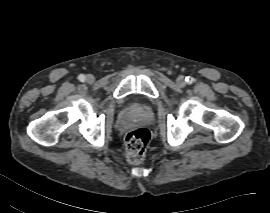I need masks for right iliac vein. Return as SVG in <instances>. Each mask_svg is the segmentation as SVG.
<instances>
[{
	"label": "right iliac vein",
	"instance_id": "1",
	"mask_svg": "<svg viewBox=\"0 0 270 213\" xmlns=\"http://www.w3.org/2000/svg\"><path fill=\"white\" fill-rule=\"evenodd\" d=\"M94 80H95V78H94L93 75L88 74V75L86 76V81H87L88 83H93Z\"/></svg>",
	"mask_w": 270,
	"mask_h": 213
}]
</instances>
